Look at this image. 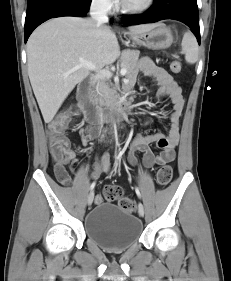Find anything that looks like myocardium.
Listing matches in <instances>:
<instances>
[{"label": "myocardium", "instance_id": "myocardium-1", "mask_svg": "<svg viewBox=\"0 0 231 281\" xmlns=\"http://www.w3.org/2000/svg\"><path fill=\"white\" fill-rule=\"evenodd\" d=\"M155 3V0H145L142 4L136 6L127 5L124 1L121 3V9L128 14H142L149 11Z\"/></svg>", "mask_w": 231, "mask_h": 281}]
</instances>
